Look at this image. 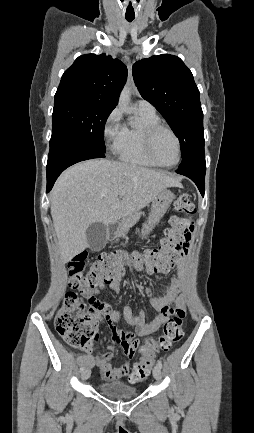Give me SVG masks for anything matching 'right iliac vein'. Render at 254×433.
I'll return each mask as SVG.
<instances>
[{"label": "right iliac vein", "instance_id": "obj_1", "mask_svg": "<svg viewBox=\"0 0 254 433\" xmlns=\"http://www.w3.org/2000/svg\"><path fill=\"white\" fill-rule=\"evenodd\" d=\"M90 369L89 368H85L82 372H81V378L82 380H87L90 377Z\"/></svg>", "mask_w": 254, "mask_h": 433}]
</instances>
